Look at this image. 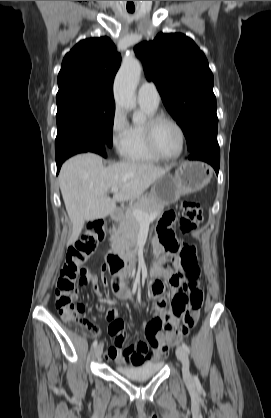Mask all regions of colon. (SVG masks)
Here are the masks:
<instances>
[{
	"instance_id": "obj_1",
	"label": "colon",
	"mask_w": 271,
	"mask_h": 418,
	"mask_svg": "<svg viewBox=\"0 0 271 418\" xmlns=\"http://www.w3.org/2000/svg\"><path fill=\"white\" fill-rule=\"evenodd\" d=\"M173 219L172 213H165L162 216L157 228L159 242L166 250L178 253L180 261L177 277L185 276L188 281L195 282L200 275V268L194 248L190 245L180 246L170 229ZM201 220L202 208L200 204L194 201H183L179 221L181 233L188 234L193 231ZM103 237V224L100 221L93 222L88 226L85 235L68 250L55 289L56 308L62 320L68 324L92 328V323L84 316V305L78 301L79 291L76 283L87 282L89 273L87 269L82 267V264L93 253ZM203 301L204 292L200 286H193L187 292L173 298L172 305L175 310L183 314V319L180 326L170 317L163 324V329L171 334L170 342L172 344L185 338L196 326Z\"/></svg>"
}]
</instances>
